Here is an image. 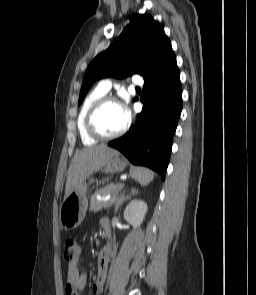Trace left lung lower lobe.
<instances>
[{
	"label": "left lung lower lobe",
	"instance_id": "0a47b994",
	"mask_svg": "<svg viewBox=\"0 0 256 295\" xmlns=\"http://www.w3.org/2000/svg\"><path fill=\"white\" fill-rule=\"evenodd\" d=\"M144 81L141 97L144 107L136 117L135 127L108 145L122 152L133 164L159 172L164 180L172 138L182 111V88L176 62Z\"/></svg>",
	"mask_w": 256,
	"mask_h": 295
}]
</instances>
